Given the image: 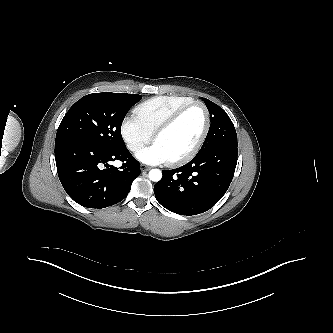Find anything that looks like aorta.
I'll use <instances>...</instances> for the list:
<instances>
[{"label":"aorta","instance_id":"1","mask_svg":"<svg viewBox=\"0 0 333 333\" xmlns=\"http://www.w3.org/2000/svg\"><path fill=\"white\" fill-rule=\"evenodd\" d=\"M162 178V172L159 169H152L149 171V179L153 182H158Z\"/></svg>","mask_w":333,"mask_h":333}]
</instances>
